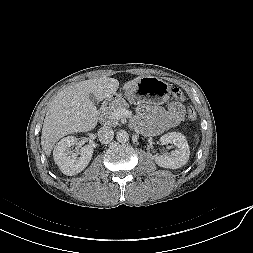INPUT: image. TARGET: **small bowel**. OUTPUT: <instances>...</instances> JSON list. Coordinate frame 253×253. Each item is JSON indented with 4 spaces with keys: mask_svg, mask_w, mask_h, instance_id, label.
<instances>
[{
    "mask_svg": "<svg viewBox=\"0 0 253 253\" xmlns=\"http://www.w3.org/2000/svg\"><path fill=\"white\" fill-rule=\"evenodd\" d=\"M184 116V106L171 102L166 109L152 105H141L137 108V121L145 123L150 134L158 135L168 128L176 126Z\"/></svg>",
    "mask_w": 253,
    "mask_h": 253,
    "instance_id": "small-bowel-1",
    "label": "small bowel"
}]
</instances>
